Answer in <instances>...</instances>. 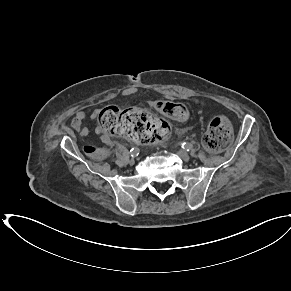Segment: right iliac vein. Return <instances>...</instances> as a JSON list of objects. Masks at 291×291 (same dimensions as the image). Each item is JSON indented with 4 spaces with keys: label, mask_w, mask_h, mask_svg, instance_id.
Returning <instances> with one entry per match:
<instances>
[{
    "label": "right iliac vein",
    "mask_w": 291,
    "mask_h": 291,
    "mask_svg": "<svg viewBox=\"0 0 291 291\" xmlns=\"http://www.w3.org/2000/svg\"><path fill=\"white\" fill-rule=\"evenodd\" d=\"M134 163H135V160L132 158V159L130 160V164L133 165Z\"/></svg>",
    "instance_id": "obj_1"
}]
</instances>
